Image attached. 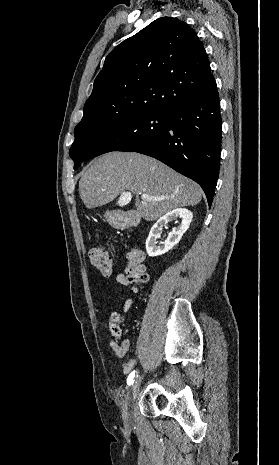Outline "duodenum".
Here are the masks:
<instances>
[{"label":"duodenum","mask_w":279,"mask_h":465,"mask_svg":"<svg viewBox=\"0 0 279 465\" xmlns=\"http://www.w3.org/2000/svg\"><path fill=\"white\" fill-rule=\"evenodd\" d=\"M137 222V217L134 216V215H129V216H126L123 221H122V224L125 226V227H130V226H133L135 225Z\"/></svg>","instance_id":"1"}]
</instances>
